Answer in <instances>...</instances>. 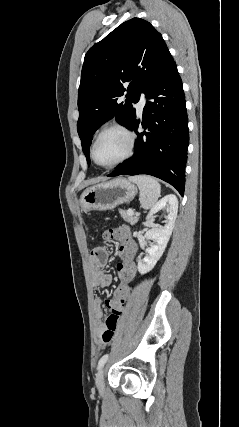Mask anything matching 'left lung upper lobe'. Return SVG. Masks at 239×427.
I'll return each instance as SVG.
<instances>
[{"instance_id":"obj_1","label":"left lung upper lobe","mask_w":239,"mask_h":427,"mask_svg":"<svg viewBox=\"0 0 239 427\" xmlns=\"http://www.w3.org/2000/svg\"><path fill=\"white\" fill-rule=\"evenodd\" d=\"M173 63L161 34L141 18L122 23L89 49L81 72L77 125L88 164L94 132L113 116L128 128L136 118L132 103Z\"/></svg>"}]
</instances>
